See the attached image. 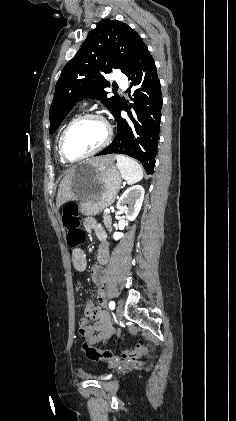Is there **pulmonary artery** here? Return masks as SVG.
I'll list each match as a JSON object with an SVG mask.
<instances>
[{
    "label": "pulmonary artery",
    "mask_w": 236,
    "mask_h": 421,
    "mask_svg": "<svg viewBox=\"0 0 236 421\" xmlns=\"http://www.w3.org/2000/svg\"><path fill=\"white\" fill-rule=\"evenodd\" d=\"M116 76L118 78L115 80V83L118 86H125L127 84V79L125 77H122L123 76V71L122 70H117L116 71ZM86 105H87V103L85 102L84 103V106H86Z\"/></svg>",
    "instance_id": "1"
}]
</instances>
